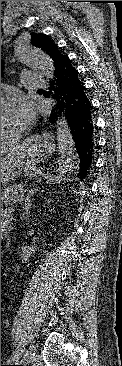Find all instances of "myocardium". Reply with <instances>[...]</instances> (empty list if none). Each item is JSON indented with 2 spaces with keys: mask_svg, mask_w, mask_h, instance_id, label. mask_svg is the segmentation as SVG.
Returning <instances> with one entry per match:
<instances>
[{
  "mask_svg": "<svg viewBox=\"0 0 122 366\" xmlns=\"http://www.w3.org/2000/svg\"><path fill=\"white\" fill-rule=\"evenodd\" d=\"M9 103H10L9 99L1 96V107L8 105ZM15 138H16V135L12 136V137L1 138V145H10V144L14 143Z\"/></svg>",
  "mask_w": 122,
  "mask_h": 366,
  "instance_id": "f54148a6",
  "label": "myocardium"
}]
</instances>
